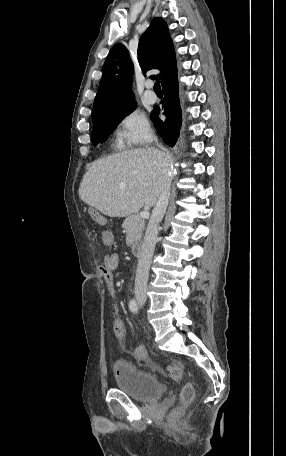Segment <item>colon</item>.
Wrapping results in <instances>:
<instances>
[{
  "mask_svg": "<svg viewBox=\"0 0 286 456\" xmlns=\"http://www.w3.org/2000/svg\"><path fill=\"white\" fill-rule=\"evenodd\" d=\"M132 356L136 360L146 363L152 369L157 370L156 364L148 357L146 351L142 348H135L132 351ZM166 373L174 380L180 381L182 379V369L178 365H167ZM193 395V388L189 385L185 386L182 391V397L185 401H188Z\"/></svg>",
  "mask_w": 286,
  "mask_h": 456,
  "instance_id": "colon-1",
  "label": "colon"
}]
</instances>
